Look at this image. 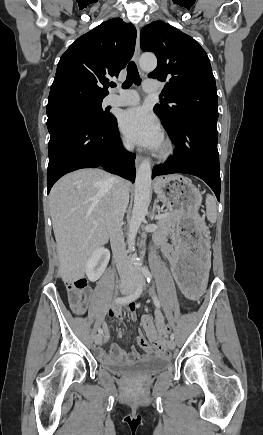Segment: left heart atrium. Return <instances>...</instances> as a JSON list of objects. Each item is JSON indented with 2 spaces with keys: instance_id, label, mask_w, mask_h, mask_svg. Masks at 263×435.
<instances>
[{
  "instance_id": "39dd6f15",
  "label": "left heart atrium",
  "mask_w": 263,
  "mask_h": 435,
  "mask_svg": "<svg viewBox=\"0 0 263 435\" xmlns=\"http://www.w3.org/2000/svg\"><path fill=\"white\" fill-rule=\"evenodd\" d=\"M119 125L126 138L134 144L157 149L162 143L163 135L159 123L142 107L124 111Z\"/></svg>"
}]
</instances>
